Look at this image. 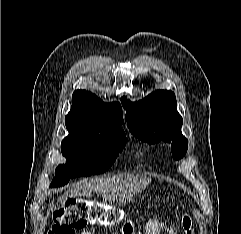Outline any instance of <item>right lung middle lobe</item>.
<instances>
[{
    "label": "right lung middle lobe",
    "mask_w": 241,
    "mask_h": 234,
    "mask_svg": "<svg viewBox=\"0 0 241 234\" xmlns=\"http://www.w3.org/2000/svg\"><path fill=\"white\" fill-rule=\"evenodd\" d=\"M69 135L61 143L66 164L59 165L50 187L62 186L69 178L96 175L108 170L126 145L122 130L82 129L65 120Z\"/></svg>",
    "instance_id": "obj_1"
}]
</instances>
